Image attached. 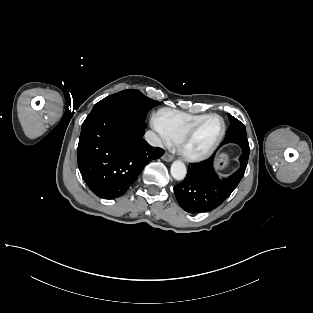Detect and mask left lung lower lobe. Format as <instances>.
Listing matches in <instances>:
<instances>
[{"mask_svg": "<svg viewBox=\"0 0 313 313\" xmlns=\"http://www.w3.org/2000/svg\"><path fill=\"white\" fill-rule=\"evenodd\" d=\"M226 143L241 147V167L229 178L220 179L213 168L214 154L202 163L188 166L186 178L174 187L176 199L185 211L201 213L213 210L229 197L244 176L250 151L246 136L225 138L221 146Z\"/></svg>", "mask_w": 313, "mask_h": 313, "instance_id": "obj_1", "label": "left lung lower lobe"}]
</instances>
